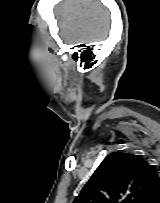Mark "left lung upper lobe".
Listing matches in <instances>:
<instances>
[{"instance_id": "5c2ea615", "label": "left lung upper lobe", "mask_w": 160, "mask_h": 203, "mask_svg": "<svg viewBox=\"0 0 160 203\" xmlns=\"http://www.w3.org/2000/svg\"><path fill=\"white\" fill-rule=\"evenodd\" d=\"M160 191L159 174L129 153L108 155L73 203H152Z\"/></svg>"}]
</instances>
